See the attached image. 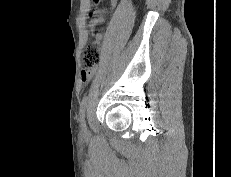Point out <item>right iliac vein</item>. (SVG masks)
Instances as JSON below:
<instances>
[{
  "label": "right iliac vein",
  "instance_id": "1",
  "mask_svg": "<svg viewBox=\"0 0 231 177\" xmlns=\"http://www.w3.org/2000/svg\"><path fill=\"white\" fill-rule=\"evenodd\" d=\"M82 128H83L84 131L86 130V124H85L84 121H83V123H82Z\"/></svg>",
  "mask_w": 231,
  "mask_h": 177
}]
</instances>
